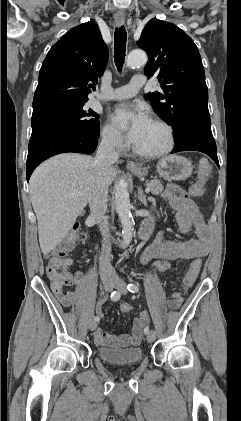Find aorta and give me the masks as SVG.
I'll return each instance as SVG.
<instances>
[{"mask_svg": "<svg viewBox=\"0 0 241 421\" xmlns=\"http://www.w3.org/2000/svg\"><path fill=\"white\" fill-rule=\"evenodd\" d=\"M146 62L147 55L142 50H133L127 57V66L130 68L142 66ZM115 207L122 226L123 247L125 248L132 240L134 219L130 211L131 204L127 183L124 180H120L116 186Z\"/></svg>", "mask_w": 241, "mask_h": 421, "instance_id": "1", "label": "aorta"}]
</instances>
